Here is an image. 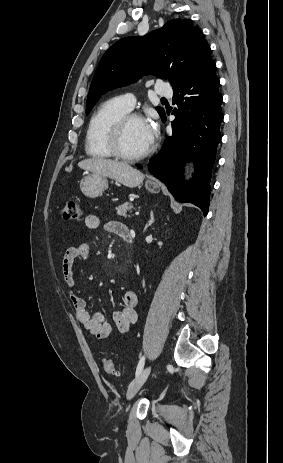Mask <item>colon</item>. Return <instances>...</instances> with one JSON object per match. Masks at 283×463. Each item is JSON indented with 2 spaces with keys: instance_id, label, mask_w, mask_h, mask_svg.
Returning <instances> with one entry per match:
<instances>
[{
  "instance_id": "colon-1",
  "label": "colon",
  "mask_w": 283,
  "mask_h": 463,
  "mask_svg": "<svg viewBox=\"0 0 283 463\" xmlns=\"http://www.w3.org/2000/svg\"><path fill=\"white\" fill-rule=\"evenodd\" d=\"M63 220H80L82 217V209L78 201L69 200L61 210ZM103 368L109 374H114L116 371L115 363L111 358L103 359Z\"/></svg>"
}]
</instances>
